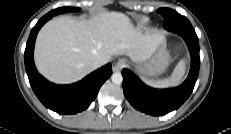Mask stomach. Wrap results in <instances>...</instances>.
Returning <instances> with one entry per match:
<instances>
[{"label": "stomach", "mask_w": 231, "mask_h": 134, "mask_svg": "<svg viewBox=\"0 0 231 134\" xmlns=\"http://www.w3.org/2000/svg\"><path fill=\"white\" fill-rule=\"evenodd\" d=\"M171 62L165 40L146 59L134 61L132 65L143 79H153L163 74Z\"/></svg>", "instance_id": "0dacf381"}]
</instances>
